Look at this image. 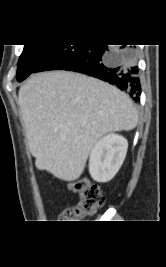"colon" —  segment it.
<instances>
[{
    "label": "colon",
    "mask_w": 166,
    "mask_h": 267,
    "mask_svg": "<svg viewBox=\"0 0 166 267\" xmlns=\"http://www.w3.org/2000/svg\"><path fill=\"white\" fill-rule=\"evenodd\" d=\"M78 194L75 204L65 207L60 213V222L76 223L94 215L102 207L105 197L100 188L88 180H80L73 185Z\"/></svg>",
    "instance_id": "obj_1"
}]
</instances>
